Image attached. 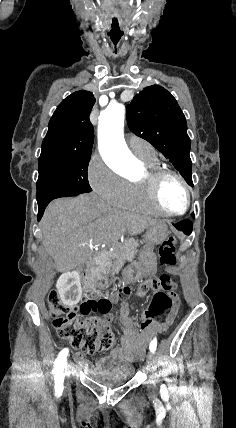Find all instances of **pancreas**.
I'll list each match as a JSON object with an SVG mask.
<instances>
[{
  "mask_svg": "<svg viewBox=\"0 0 236 428\" xmlns=\"http://www.w3.org/2000/svg\"><path fill=\"white\" fill-rule=\"evenodd\" d=\"M139 244L137 240H124L123 244H115L113 252L105 254L104 258H98L97 276L99 280H103L104 288L109 286V274L112 266H123L125 262H133L137 256V248Z\"/></svg>",
  "mask_w": 236,
  "mask_h": 428,
  "instance_id": "pancreas-1",
  "label": "pancreas"
}]
</instances>
